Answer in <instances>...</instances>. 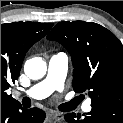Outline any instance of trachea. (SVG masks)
I'll use <instances>...</instances> for the list:
<instances>
[{"instance_id":"3493384b","label":"trachea","mask_w":123,"mask_h":123,"mask_svg":"<svg viewBox=\"0 0 123 123\" xmlns=\"http://www.w3.org/2000/svg\"><path fill=\"white\" fill-rule=\"evenodd\" d=\"M22 103L25 106H30L31 100L28 97H24L22 100ZM75 106H76V102L71 101V102L65 103L63 107H64V110L69 111V110H72Z\"/></svg>"}]
</instances>
